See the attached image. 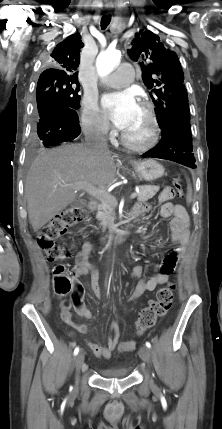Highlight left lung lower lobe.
<instances>
[{
	"label": "left lung lower lobe",
	"instance_id": "left-lung-lower-lobe-1",
	"mask_svg": "<svg viewBox=\"0 0 222 429\" xmlns=\"http://www.w3.org/2000/svg\"><path fill=\"white\" fill-rule=\"evenodd\" d=\"M192 151L190 121H177L162 130L160 142L143 156L175 161L194 169L196 160Z\"/></svg>",
	"mask_w": 222,
	"mask_h": 429
}]
</instances>
